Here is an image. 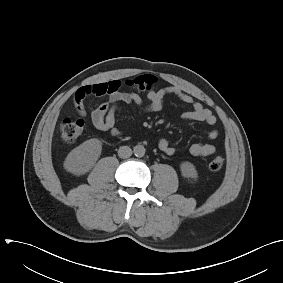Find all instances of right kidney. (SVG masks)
Returning a JSON list of instances; mask_svg holds the SVG:
<instances>
[{
  "instance_id": "ca27d5eb",
  "label": "right kidney",
  "mask_w": 283,
  "mask_h": 283,
  "mask_svg": "<svg viewBox=\"0 0 283 283\" xmlns=\"http://www.w3.org/2000/svg\"><path fill=\"white\" fill-rule=\"evenodd\" d=\"M102 143L98 139H89L73 149L64 161V168L75 175L87 173L98 160Z\"/></svg>"
}]
</instances>
